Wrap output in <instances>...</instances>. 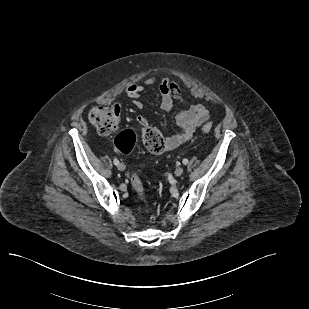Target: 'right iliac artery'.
<instances>
[{
  "instance_id": "obj_1",
  "label": "right iliac artery",
  "mask_w": 309,
  "mask_h": 309,
  "mask_svg": "<svg viewBox=\"0 0 309 309\" xmlns=\"http://www.w3.org/2000/svg\"><path fill=\"white\" fill-rule=\"evenodd\" d=\"M113 162H114L115 165L119 164V160L117 158H114Z\"/></svg>"
}]
</instances>
